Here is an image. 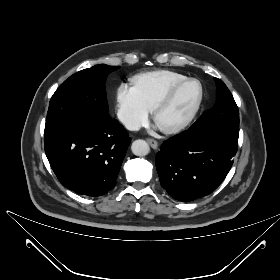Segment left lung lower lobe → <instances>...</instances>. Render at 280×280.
<instances>
[{
	"instance_id": "left-lung-lower-lobe-1",
	"label": "left lung lower lobe",
	"mask_w": 280,
	"mask_h": 280,
	"mask_svg": "<svg viewBox=\"0 0 280 280\" xmlns=\"http://www.w3.org/2000/svg\"><path fill=\"white\" fill-rule=\"evenodd\" d=\"M238 142L204 128L166 140L156 155L161 186L175 200L193 201L212 193L233 165Z\"/></svg>"
}]
</instances>
